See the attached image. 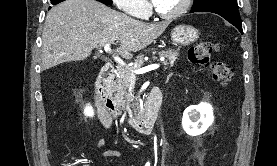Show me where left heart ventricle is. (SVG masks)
<instances>
[{"label": "left heart ventricle", "instance_id": "1", "mask_svg": "<svg viewBox=\"0 0 277 166\" xmlns=\"http://www.w3.org/2000/svg\"><path fill=\"white\" fill-rule=\"evenodd\" d=\"M182 2L183 0H157L154 4L160 11L170 13L177 10Z\"/></svg>", "mask_w": 277, "mask_h": 166}]
</instances>
